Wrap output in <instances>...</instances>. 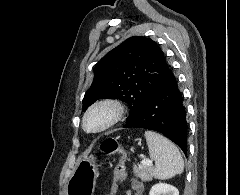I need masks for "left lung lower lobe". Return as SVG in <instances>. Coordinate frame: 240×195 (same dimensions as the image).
I'll list each match as a JSON object with an SVG mask.
<instances>
[{
  "label": "left lung lower lobe",
  "mask_w": 240,
  "mask_h": 195,
  "mask_svg": "<svg viewBox=\"0 0 240 195\" xmlns=\"http://www.w3.org/2000/svg\"><path fill=\"white\" fill-rule=\"evenodd\" d=\"M123 127L157 131L176 143L186 154L188 129L186 112L182 93L170 69L140 111Z\"/></svg>",
  "instance_id": "1"
}]
</instances>
